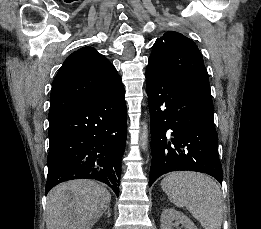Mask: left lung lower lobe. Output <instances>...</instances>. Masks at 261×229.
<instances>
[{"label": "left lung lower lobe", "mask_w": 261, "mask_h": 229, "mask_svg": "<svg viewBox=\"0 0 261 229\" xmlns=\"http://www.w3.org/2000/svg\"><path fill=\"white\" fill-rule=\"evenodd\" d=\"M151 117L149 186L172 171H196L223 180L210 87L146 70Z\"/></svg>", "instance_id": "obj_1"}]
</instances>
